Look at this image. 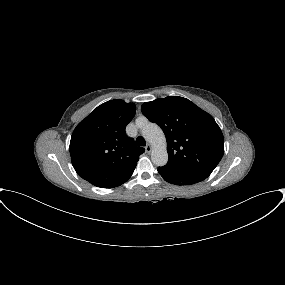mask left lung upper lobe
<instances>
[{"mask_svg": "<svg viewBox=\"0 0 285 285\" xmlns=\"http://www.w3.org/2000/svg\"><path fill=\"white\" fill-rule=\"evenodd\" d=\"M142 113L167 140V171L208 177L224 154V138L214 118L190 100L170 96L145 102Z\"/></svg>", "mask_w": 285, "mask_h": 285, "instance_id": "left-lung-upper-lobe-1", "label": "left lung upper lobe"}]
</instances>
